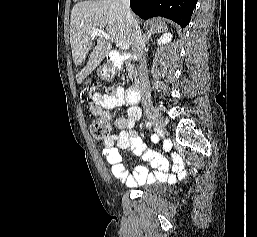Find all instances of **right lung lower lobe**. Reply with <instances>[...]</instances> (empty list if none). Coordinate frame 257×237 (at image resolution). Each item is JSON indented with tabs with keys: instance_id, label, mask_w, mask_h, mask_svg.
I'll use <instances>...</instances> for the list:
<instances>
[{
	"instance_id": "1",
	"label": "right lung lower lobe",
	"mask_w": 257,
	"mask_h": 237,
	"mask_svg": "<svg viewBox=\"0 0 257 237\" xmlns=\"http://www.w3.org/2000/svg\"><path fill=\"white\" fill-rule=\"evenodd\" d=\"M197 0H130L131 9L141 18L162 16L184 28L190 21Z\"/></svg>"
}]
</instances>
